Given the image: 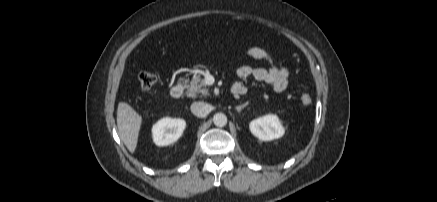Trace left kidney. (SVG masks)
<instances>
[{
  "mask_svg": "<svg viewBox=\"0 0 437 202\" xmlns=\"http://www.w3.org/2000/svg\"><path fill=\"white\" fill-rule=\"evenodd\" d=\"M251 133L262 141H271L284 135V128L276 115H265L250 122Z\"/></svg>",
  "mask_w": 437,
  "mask_h": 202,
  "instance_id": "1",
  "label": "left kidney"
}]
</instances>
